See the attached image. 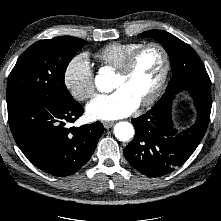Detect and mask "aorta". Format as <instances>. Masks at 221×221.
<instances>
[{"mask_svg": "<svg viewBox=\"0 0 221 221\" xmlns=\"http://www.w3.org/2000/svg\"><path fill=\"white\" fill-rule=\"evenodd\" d=\"M95 85L102 92H110L112 90L111 75L106 71H100L95 78ZM134 133L133 125L126 121L118 122L114 127L115 137L123 142L130 140Z\"/></svg>", "mask_w": 221, "mask_h": 221, "instance_id": "aorta-1", "label": "aorta"}]
</instances>
